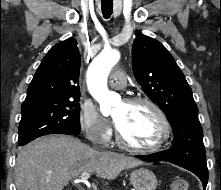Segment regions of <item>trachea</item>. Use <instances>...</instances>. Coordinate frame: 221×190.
<instances>
[{"mask_svg":"<svg viewBox=\"0 0 221 190\" xmlns=\"http://www.w3.org/2000/svg\"><path fill=\"white\" fill-rule=\"evenodd\" d=\"M101 9L104 18H109L113 11V2L112 1H102L101 2Z\"/></svg>","mask_w":221,"mask_h":190,"instance_id":"3493384b","label":"trachea"}]
</instances>
